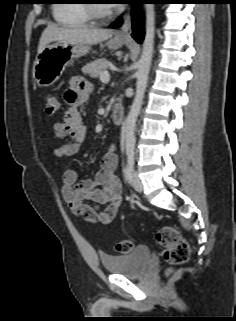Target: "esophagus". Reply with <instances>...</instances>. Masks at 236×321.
<instances>
[{
  "label": "esophagus",
  "instance_id": "1",
  "mask_svg": "<svg viewBox=\"0 0 236 321\" xmlns=\"http://www.w3.org/2000/svg\"><path fill=\"white\" fill-rule=\"evenodd\" d=\"M130 28H131V8L124 15V21L121 29L116 34L117 39H128L130 38Z\"/></svg>",
  "mask_w": 236,
  "mask_h": 321
}]
</instances>
